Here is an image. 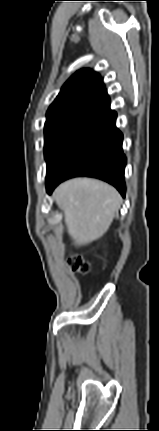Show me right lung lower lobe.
I'll use <instances>...</instances> for the list:
<instances>
[{
  "mask_svg": "<svg viewBox=\"0 0 159 431\" xmlns=\"http://www.w3.org/2000/svg\"><path fill=\"white\" fill-rule=\"evenodd\" d=\"M116 117L115 111H109L65 139L47 163L48 193L68 178L89 176L112 184L125 196L126 157L122 150L123 134L115 125Z\"/></svg>",
  "mask_w": 159,
  "mask_h": 431,
  "instance_id": "obj_1",
  "label": "right lung lower lobe"
}]
</instances>
